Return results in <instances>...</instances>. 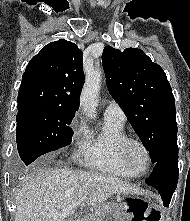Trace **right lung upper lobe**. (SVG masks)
<instances>
[{
    "mask_svg": "<svg viewBox=\"0 0 190 221\" xmlns=\"http://www.w3.org/2000/svg\"><path fill=\"white\" fill-rule=\"evenodd\" d=\"M82 52L64 39L43 47L28 63L18 93V111L51 108L75 111L84 83Z\"/></svg>",
    "mask_w": 190,
    "mask_h": 221,
    "instance_id": "right-lung-upper-lobe-1",
    "label": "right lung upper lobe"
}]
</instances>
